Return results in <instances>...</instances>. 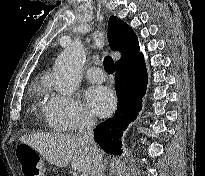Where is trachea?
<instances>
[{
	"label": "trachea",
	"mask_w": 205,
	"mask_h": 176,
	"mask_svg": "<svg viewBox=\"0 0 205 176\" xmlns=\"http://www.w3.org/2000/svg\"><path fill=\"white\" fill-rule=\"evenodd\" d=\"M103 65L108 73H114V62L111 57L106 56L103 60Z\"/></svg>",
	"instance_id": "3493384b"
}]
</instances>
